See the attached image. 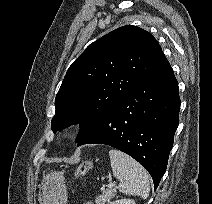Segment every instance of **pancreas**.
Wrapping results in <instances>:
<instances>
[{
	"label": "pancreas",
	"mask_w": 212,
	"mask_h": 204,
	"mask_svg": "<svg viewBox=\"0 0 212 204\" xmlns=\"http://www.w3.org/2000/svg\"><path fill=\"white\" fill-rule=\"evenodd\" d=\"M116 194V188L112 187L103 191L101 195L97 196L95 199L96 204H105L109 202Z\"/></svg>",
	"instance_id": "1"
}]
</instances>
